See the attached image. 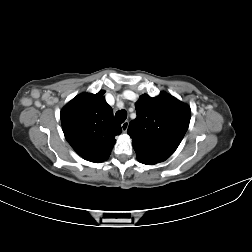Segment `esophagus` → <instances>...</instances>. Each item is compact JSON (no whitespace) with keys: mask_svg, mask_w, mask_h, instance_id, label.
I'll return each instance as SVG.
<instances>
[{"mask_svg":"<svg viewBox=\"0 0 252 252\" xmlns=\"http://www.w3.org/2000/svg\"><path fill=\"white\" fill-rule=\"evenodd\" d=\"M128 125H129V122L128 121H125L121 124V128H122V131L123 132H126L127 129H128Z\"/></svg>","mask_w":252,"mask_h":252,"instance_id":"1","label":"esophagus"}]
</instances>
